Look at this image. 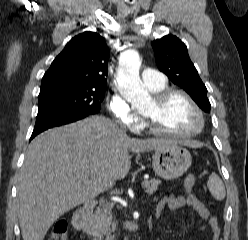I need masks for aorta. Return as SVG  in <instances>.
Listing matches in <instances>:
<instances>
[{
  "label": "aorta",
  "mask_w": 248,
  "mask_h": 240,
  "mask_svg": "<svg viewBox=\"0 0 248 240\" xmlns=\"http://www.w3.org/2000/svg\"><path fill=\"white\" fill-rule=\"evenodd\" d=\"M140 65L139 53L130 49L121 54L117 71L118 90L135 108H141L150 103L149 93L141 85Z\"/></svg>",
  "instance_id": "1"
}]
</instances>
